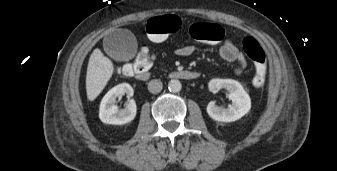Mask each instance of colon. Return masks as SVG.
Wrapping results in <instances>:
<instances>
[{"mask_svg": "<svg viewBox=\"0 0 337 171\" xmlns=\"http://www.w3.org/2000/svg\"><path fill=\"white\" fill-rule=\"evenodd\" d=\"M181 20L175 15L156 16L147 20L145 29L148 37L153 41H162L168 35L178 31ZM190 36L204 45L218 43L224 37V30L220 25L195 22L190 26ZM242 48L253 63L255 74L253 84L260 87L266 78V55L259 42L247 36L242 41ZM151 64V55L147 48H141L134 63H127L118 68L124 75L133 74L135 69H148Z\"/></svg>", "mask_w": 337, "mask_h": 171, "instance_id": "5ec220e1", "label": "colon"}]
</instances>
